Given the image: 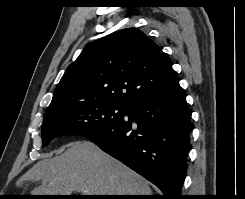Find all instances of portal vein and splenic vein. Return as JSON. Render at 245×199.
Segmentation results:
<instances>
[{"mask_svg": "<svg viewBox=\"0 0 245 199\" xmlns=\"http://www.w3.org/2000/svg\"><path fill=\"white\" fill-rule=\"evenodd\" d=\"M83 192H84V195H91L89 190H84Z\"/></svg>", "mask_w": 245, "mask_h": 199, "instance_id": "obj_1", "label": "portal vein and splenic vein"}]
</instances>
